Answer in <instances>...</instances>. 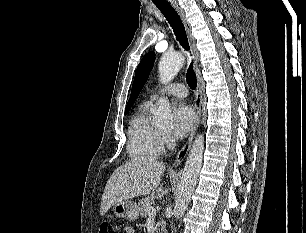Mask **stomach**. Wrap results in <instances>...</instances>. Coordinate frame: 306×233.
I'll return each instance as SVG.
<instances>
[{
    "mask_svg": "<svg viewBox=\"0 0 306 233\" xmlns=\"http://www.w3.org/2000/svg\"><path fill=\"white\" fill-rule=\"evenodd\" d=\"M113 212L120 218H126L132 221L136 220L139 216L138 206L131 200H124L116 203L113 206Z\"/></svg>",
    "mask_w": 306,
    "mask_h": 233,
    "instance_id": "obj_1",
    "label": "stomach"
}]
</instances>
